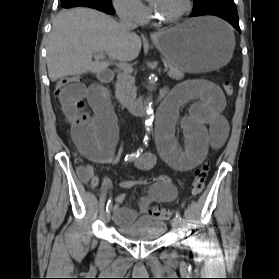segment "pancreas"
<instances>
[{"label": "pancreas", "mask_w": 279, "mask_h": 279, "mask_svg": "<svg viewBox=\"0 0 279 279\" xmlns=\"http://www.w3.org/2000/svg\"><path fill=\"white\" fill-rule=\"evenodd\" d=\"M164 64L169 68L168 76L175 80H182L184 72L173 66L168 60H163ZM132 72H122L117 76L115 84V95L121 103H129L136 97V87Z\"/></svg>", "instance_id": "1"}]
</instances>
